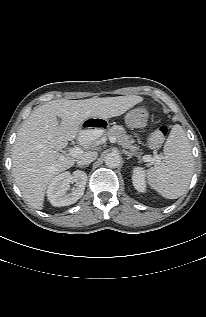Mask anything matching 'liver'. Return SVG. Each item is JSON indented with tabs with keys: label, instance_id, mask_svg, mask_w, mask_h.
Returning a JSON list of instances; mask_svg holds the SVG:
<instances>
[{
	"label": "liver",
	"instance_id": "obj_1",
	"mask_svg": "<svg viewBox=\"0 0 206 317\" xmlns=\"http://www.w3.org/2000/svg\"><path fill=\"white\" fill-rule=\"evenodd\" d=\"M142 100L136 95L60 99L35 109L19 129L12 150V173L29 205L43 209L48 184L74 165L75 157L64 156L58 151L78 136L85 120L120 116ZM78 140L88 143L80 134Z\"/></svg>",
	"mask_w": 206,
	"mask_h": 317
}]
</instances>
